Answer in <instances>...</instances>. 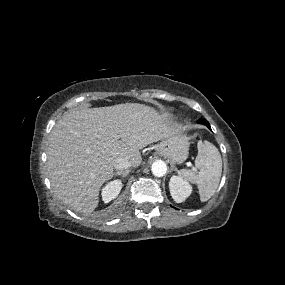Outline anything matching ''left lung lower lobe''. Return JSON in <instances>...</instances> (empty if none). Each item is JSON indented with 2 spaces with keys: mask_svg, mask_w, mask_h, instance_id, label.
<instances>
[{
  "mask_svg": "<svg viewBox=\"0 0 285 285\" xmlns=\"http://www.w3.org/2000/svg\"><path fill=\"white\" fill-rule=\"evenodd\" d=\"M198 122L201 123V124L206 125L209 129H211L210 124H209V122L206 119H203V118L199 119Z\"/></svg>",
  "mask_w": 285,
  "mask_h": 285,
  "instance_id": "obj_1",
  "label": "left lung lower lobe"
}]
</instances>
